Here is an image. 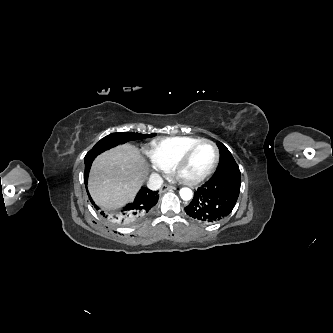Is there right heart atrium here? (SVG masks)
Segmentation results:
<instances>
[{
	"label": "right heart atrium",
	"instance_id": "d8ad5b80",
	"mask_svg": "<svg viewBox=\"0 0 333 333\" xmlns=\"http://www.w3.org/2000/svg\"><path fill=\"white\" fill-rule=\"evenodd\" d=\"M146 155L149 159L151 167L156 172H166L167 169L163 166V164L158 160L155 154L151 151H147Z\"/></svg>",
	"mask_w": 333,
	"mask_h": 333
}]
</instances>
